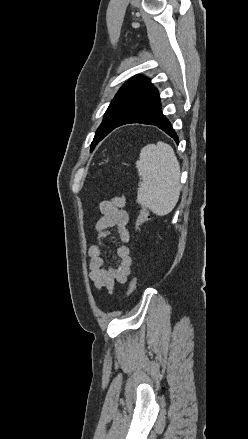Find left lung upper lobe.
<instances>
[{
  "instance_id": "obj_1",
  "label": "left lung upper lobe",
  "mask_w": 248,
  "mask_h": 439,
  "mask_svg": "<svg viewBox=\"0 0 248 439\" xmlns=\"http://www.w3.org/2000/svg\"><path fill=\"white\" fill-rule=\"evenodd\" d=\"M150 80L143 76H134L118 91L97 129L91 144V150L152 90Z\"/></svg>"
}]
</instances>
